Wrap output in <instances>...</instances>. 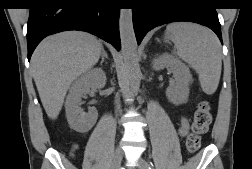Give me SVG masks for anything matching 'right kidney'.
Here are the masks:
<instances>
[{
	"instance_id": "1",
	"label": "right kidney",
	"mask_w": 252,
	"mask_h": 169,
	"mask_svg": "<svg viewBox=\"0 0 252 169\" xmlns=\"http://www.w3.org/2000/svg\"><path fill=\"white\" fill-rule=\"evenodd\" d=\"M105 81L106 75L100 68L89 71L72 85L66 98L65 108L68 122L76 131L88 132L96 123L97 111L84 113L81 108L82 99L86 97L90 88L103 85Z\"/></svg>"
}]
</instances>
